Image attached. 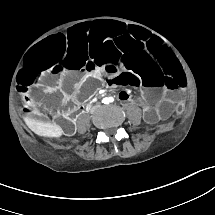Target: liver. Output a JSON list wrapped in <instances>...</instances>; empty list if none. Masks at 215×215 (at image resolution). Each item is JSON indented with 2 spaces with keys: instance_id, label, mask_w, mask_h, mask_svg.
Listing matches in <instances>:
<instances>
[{
  "instance_id": "1",
  "label": "liver",
  "mask_w": 215,
  "mask_h": 215,
  "mask_svg": "<svg viewBox=\"0 0 215 215\" xmlns=\"http://www.w3.org/2000/svg\"><path fill=\"white\" fill-rule=\"evenodd\" d=\"M25 121L27 125L38 134L57 137L63 133L61 127L56 124L43 123L29 118H25Z\"/></svg>"
}]
</instances>
